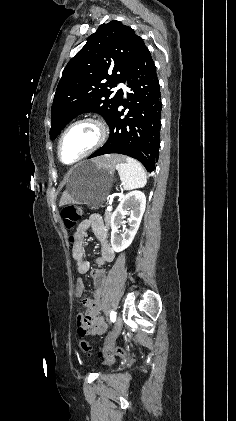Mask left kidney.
<instances>
[{
  "label": "left kidney",
  "mask_w": 236,
  "mask_h": 421,
  "mask_svg": "<svg viewBox=\"0 0 236 421\" xmlns=\"http://www.w3.org/2000/svg\"><path fill=\"white\" fill-rule=\"evenodd\" d=\"M146 206V196L141 190H132L123 196L116 211L111 215V245L116 253L124 251L131 245L141 223ZM130 213V219L123 221L125 215ZM129 223V229H123L125 233H119L120 225Z\"/></svg>",
  "instance_id": "obj_1"
}]
</instances>
